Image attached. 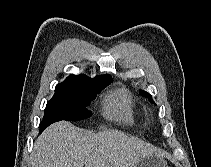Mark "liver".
<instances>
[{
	"instance_id": "obj_1",
	"label": "liver",
	"mask_w": 211,
	"mask_h": 167,
	"mask_svg": "<svg viewBox=\"0 0 211 167\" xmlns=\"http://www.w3.org/2000/svg\"><path fill=\"white\" fill-rule=\"evenodd\" d=\"M154 152L152 145L124 133H91L62 121L35 141L32 167H133Z\"/></svg>"
}]
</instances>
